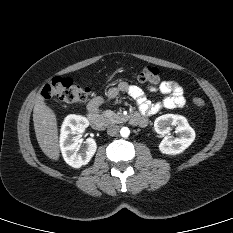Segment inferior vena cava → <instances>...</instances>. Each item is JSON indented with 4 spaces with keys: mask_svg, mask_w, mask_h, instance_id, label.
<instances>
[{
    "mask_svg": "<svg viewBox=\"0 0 233 233\" xmlns=\"http://www.w3.org/2000/svg\"><path fill=\"white\" fill-rule=\"evenodd\" d=\"M119 132V126L116 124H111L107 128V134L110 136H115Z\"/></svg>",
    "mask_w": 233,
    "mask_h": 233,
    "instance_id": "1",
    "label": "inferior vena cava"
}]
</instances>
